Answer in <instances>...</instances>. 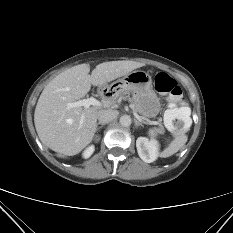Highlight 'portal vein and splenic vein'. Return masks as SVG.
Returning a JSON list of instances; mask_svg holds the SVG:
<instances>
[{"instance_id":"obj_1","label":"portal vein and splenic vein","mask_w":233,"mask_h":233,"mask_svg":"<svg viewBox=\"0 0 233 233\" xmlns=\"http://www.w3.org/2000/svg\"><path fill=\"white\" fill-rule=\"evenodd\" d=\"M96 106V107H100L101 106V102H99L97 99H95L94 97H90L87 99H82L79 101H75V102H71V103H67V109H71V108H76V107H84L85 109L89 108L90 106ZM136 118L139 119V115L134 113ZM149 124H156V122L154 121H149Z\"/></svg>"}]
</instances>
